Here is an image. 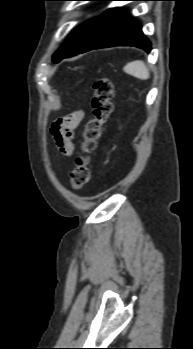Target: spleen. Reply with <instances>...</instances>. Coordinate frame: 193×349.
Returning <instances> with one entry per match:
<instances>
[{
    "label": "spleen",
    "mask_w": 193,
    "mask_h": 349,
    "mask_svg": "<svg viewBox=\"0 0 193 349\" xmlns=\"http://www.w3.org/2000/svg\"><path fill=\"white\" fill-rule=\"evenodd\" d=\"M124 71L127 74L132 75L141 80H146L150 77V73L146 64L141 60H136L128 63L124 67Z\"/></svg>",
    "instance_id": "obj_1"
}]
</instances>
